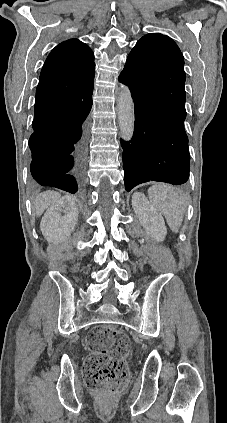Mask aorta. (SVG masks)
I'll use <instances>...</instances> for the list:
<instances>
[{"instance_id": "obj_1", "label": "aorta", "mask_w": 227, "mask_h": 423, "mask_svg": "<svg viewBox=\"0 0 227 423\" xmlns=\"http://www.w3.org/2000/svg\"><path fill=\"white\" fill-rule=\"evenodd\" d=\"M118 123L120 133L126 140H131L134 133V103L130 90L121 85L117 98Z\"/></svg>"}]
</instances>
